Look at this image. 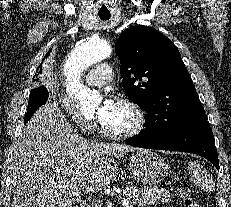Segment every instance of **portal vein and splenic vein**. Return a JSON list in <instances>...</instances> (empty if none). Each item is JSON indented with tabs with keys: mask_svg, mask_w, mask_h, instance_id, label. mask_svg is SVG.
<instances>
[{
	"mask_svg": "<svg viewBox=\"0 0 231 207\" xmlns=\"http://www.w3.org/2000/svg\"><path fill=\"white\" fill-rule=\"evenodd\" d=\"M122 205H123L124 207H132V204H130V202L127 201V200H124V201L122 202ZM97 207H100V206H97Z\"/></svg>",
	"mask_w": 231,
	"mask_h": 207,
	"instance_id": "portal-vein-and-splenic-vein-1",
	"label": "portal vein and splenic vein"
}]
</instances>
